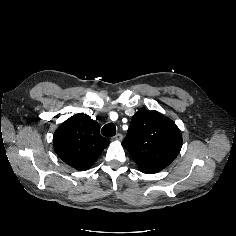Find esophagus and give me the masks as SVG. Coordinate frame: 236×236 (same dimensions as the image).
<instances>
[{
    "mask_svg": "<svg viewBox=\"0 0 236 236\" xmlns=\"http://www.w3.org/2000/svg\"><path fill=\"white\" fill-rule=\"evenodd\" d=\"M112 139L115 141H121L123 139V135L121 133H117Z\"/></svg>",
    "mask_w": 236,
    "mask_h": 236,
    "instance_id": "1",
    "label": "esophagus"
}]
</instances>
